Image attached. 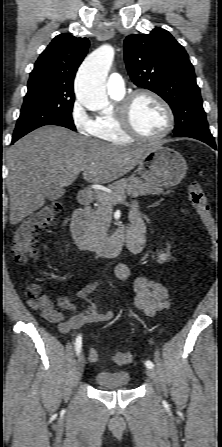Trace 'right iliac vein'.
I'll return each mask as SVG.
<instances>
[{
    "instance_id": "63e3f726",
    "label": "right iliac vein",
    "mask_w": 222,
    "mask_h": 447,
    "mask_svg": "<svg viewBox=\"0 0 222 447\" xmlns=\"http://www.w3.org/2000/svg\"><path fill=\"white\" fill-rule=\"evenodd\" d=\"M85 357L83 353H80L78 360H77V364H76V370H75V384H77L84 372V368H85Z\"/></svg>"
}]
</instances>
